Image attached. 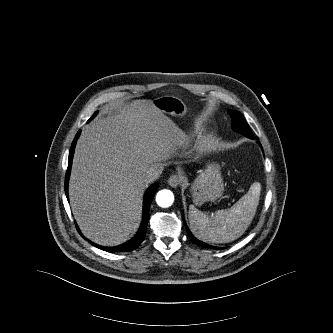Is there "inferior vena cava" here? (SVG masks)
<instances>
[{"label": "inferior vena cava", "instance_id": "602c4592", "mask_svg": "<svg viewBox=\"0 0 333 333\" xmlns=\"http://www.w3.org/2000/svg\"><path fill=\"white\" fill-rule=\"evenodd\" d=\"M163 171V165L160 163H155L147 170L145 175V181L147 183L153 182L158 179Z\"/></svg>", "mask_w": 333, "mask_h": 333}]
</instances>
